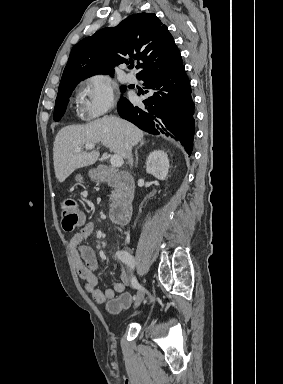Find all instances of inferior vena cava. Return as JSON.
Listing matches in <instances>:
<instances>
[{
  "mask_svg": "<svg viewBox=\"0 0 283 384\" xmlns=\"http://www.w3.org/2000/svg\"><path fill=\"white\" fill-rule=\"evenodd\" d=\"M126 150H127V158L132 166L133 164V158H132V148L129 146V144H126Z\"/></svg>",
  "mask_w": 283,
  "mask_h": 384,
  "instance_id": "602c4592",
  "label": "inferior vena cava"
}]
</instances>
